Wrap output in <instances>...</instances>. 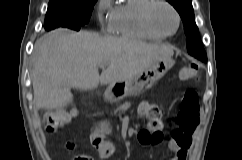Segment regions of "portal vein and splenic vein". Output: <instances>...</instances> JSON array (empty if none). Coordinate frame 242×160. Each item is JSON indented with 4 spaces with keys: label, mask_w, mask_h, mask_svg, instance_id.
Masks as SVG:
<instances>
[{
    "label": "portal vein and splenic vein",
    "mask_w": 242,
    "mask_h": 160,
    "mask_svg": "<svg viewBox=\"0 0 242 160\" xmlns=\"http://www.w3.org/2000/svg\"><path fill=\"white\" fill-rule=\"evenodd\" d=\"M106 66H107V65L102 64V65H100L99 67H101L102 69H105V68H106Z\"/></svg>",
    "instance_id": "1"
}]
</instances>
